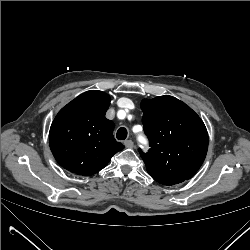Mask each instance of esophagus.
<instances>
[{
    "label": "esophagus",
    "instance_id": "esophagus-1",
    "mask_svg": "<svg viewBox=\"0 0 250 250\" xmlns=\"http://www.w3.org/2000/svg\"><path fill=\"white\" fill-rule=\"evenodd\" d=\"M124 145H125L126 148H133L134 143H133L132 140H126V141L124 142Z\"/></svg>",
    "mask_w": 250,
    "mask_h": 250
}]
</instances>
